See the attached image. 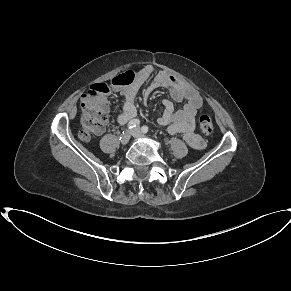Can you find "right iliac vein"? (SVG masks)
<instances>
[{"instance_id": "right-iliac-vein-1", "label": "right iliac vein", "mask_w": 291, "mask_h": 291, "mask_svg": "<svg viewBox=\"0 0 291 291\" xmlns=\"http://www.w3.org/2000/svg\"><path fill=\"white\" fill-rule=\"evenodd\" d=\"M132 133L133 131H126L125 133H123V135L120 138V141L123 145H126L129 142L132 136Z\"/></svg>"}]
</instances>
